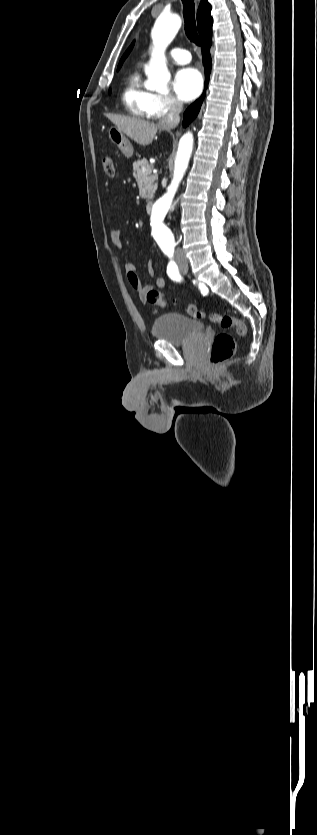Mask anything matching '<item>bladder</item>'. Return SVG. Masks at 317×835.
Returning <instances> with one entry per match:
<instances>
[{
	"label": "bladder",
	"instance_id": "31cf9c89",
	"mask_svg": "<svg viewBox=\"0 0 317 835\" xmlns=\"http://www.w3.org/2000/svg\"><path fill=\"white\" fill-rule=\"evenodd\" d=\"M153 335L175 346H184L204 336V325L179 313H168L155 319Z\"/></svg>",
	"mask_w": 317,
	"mask_h": 835
}]
</instances>
